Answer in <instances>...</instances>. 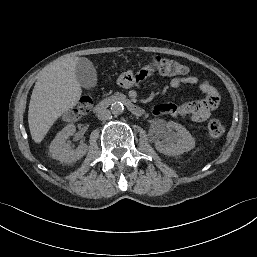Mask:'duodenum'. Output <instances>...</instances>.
<instances>
[{
  "instance_id": "410a0bca",
  "label": "duodenum",
  "mask_w": 257,
  "mask_h": 257,
  "mask_svg": "<svg viewBox=\"0 0 257 257\" xmlns=\"http://www.w3.org/2000/svg\"><path fill=\"white\" fill-rule=\"evenodd\" d=\"M113 102H122L127 107V109L135 116L140 117L144 114V110L139 105H137L131 99L122 94H115L101 100L96 105L95 109L97 111L104 110L108 108Z\"/></svg>"
}]
</instances>
